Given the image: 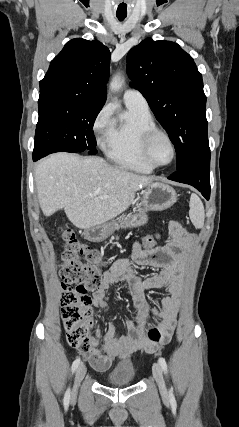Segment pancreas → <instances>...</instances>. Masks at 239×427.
<instances>
[{
    "label": "pancreas",
    "instance_id": "cf45deb5",
    "mask_svg": "<svg viewBox=\"0 0 239 427\" xmlns=\"http://www.w3.org/2000/svg\"><path fill=\"white\" fill-rule=\"evenodd\" d=\"M139 211H141V210H139ZM122 220H123V219H122ZM122 220H119V222H121ZM114 228H115V229L119 228V225H118L117 223H115Z\"/></svg>",
    "mask_w": 239,
    "mask_h": 427
}]
</instances>
